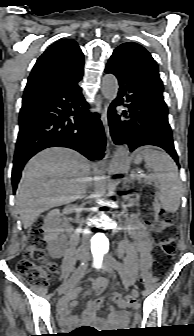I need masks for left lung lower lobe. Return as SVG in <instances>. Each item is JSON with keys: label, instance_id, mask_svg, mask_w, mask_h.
Returning <instances> with one entry per match:
<instances>
[{"label": "left lung lower lobe", "instance_id": "0a47b994", "mask_svg": "<svg viewBox=\"0 0 194 336\" xmlns=\"http://www.w3.org/2000/svg\"><path fill=\"white\" fill-rule=\"evenodd\" d=\"M105 72L114 74L119 82L118 96L108 110L110 133L115 144H127L131 152L140 146H158L178 164L163 91L122 50L113 52ZM120 105L127 108L121 115L115 109Z\"/></svg>", "mask_w": 194, "mask_h": 336}]
</instances>
